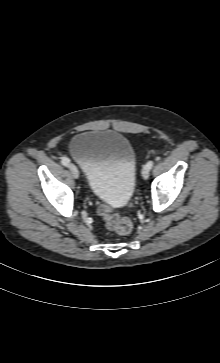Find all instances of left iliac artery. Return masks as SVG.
Masks as SVG:
<instances>
[{
	"label": "left iliac artery",
	"mask_w": 220,
	"mask_h": 363,
	"mask_svg": "<svg viewBox=\"0 0 220 363\" xmlns=\"http://www.w3.org/2000/svg\"><path fill=\"white\" fill-rule=\"evenodd\" d=\"M153 165H154V162L151 160V161H148L145 166L150 170L153 167Z\"/></svg>",
	"instance_id": "obj_1"
}]
</instances>
